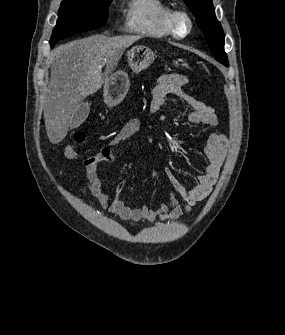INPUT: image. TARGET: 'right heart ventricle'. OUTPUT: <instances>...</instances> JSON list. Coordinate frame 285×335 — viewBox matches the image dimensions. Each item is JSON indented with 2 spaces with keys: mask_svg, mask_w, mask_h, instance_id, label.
I'll use <instances>...</instances> for the list:
<instances>
[{
  "mask_svg": "<svg viewBox=\"0 0 285 335\" xmlns=\"http://www.w3.org/2000/svg\"><path fill=\"white\" fill-rule=\"evenodd\" d=\"M171 17L164 1H136L131 25L142 37L163 39L171 34Z\"/></svg>",
  "mask_w": 285,
  "mask_h": 335,
  "instance_id": "e07e8e85",
  "label": "right heart ventricle"
}]
</instances>
